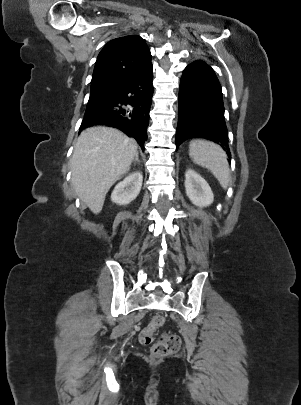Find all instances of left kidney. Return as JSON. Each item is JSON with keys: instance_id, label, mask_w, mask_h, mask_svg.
<instances>
[{"instance_id": "left-kidney-1", "label": "left kidney", "mask_w": 301, "mask_h": 405, "mask_svg": "<svg viewBox=\"0 0 301 405\" xmlns=\"http://www.w3.org/2000/svg\"><path fill=\"white\" fill-rule=\"evenodd\" d=\"M186 195L191 202L199 207L209 206L214 199L213 192L208 183L194 170L185 173Z\"/></svg>"}]
</instances>
